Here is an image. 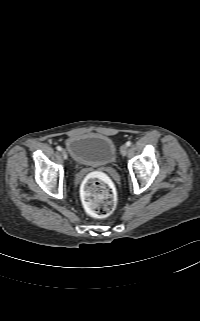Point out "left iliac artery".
Returning <instances> with one entry per match:
<instances>
[{"instance_id": "obj_1", "label": "left iliac artery", "mask_w": 200, "mask_h": 321, "mask_svg": "<svg viewBox=\"0 0 200 321\" xmlns=\"http://www.w3.org/2000/svg\"><path fill=\"white\" fill-rule=\"evenodd\" d=\"M131 144H132L131 141H127V142H126V145H127V146H131Z\"/></svg>"}]
</instances>
